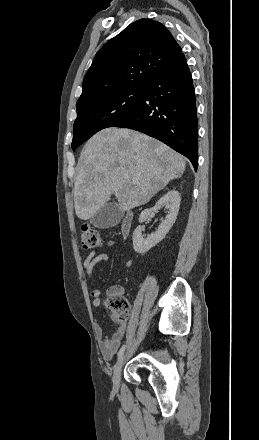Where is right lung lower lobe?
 <instances>
[{
	"label": "right lung lower lobe",
	"instance_id": "1",
	"mask_svg": "<svg viewBox=\"0 0 259 440\" xmlns=\"http://www.w3.org/2000/svg\"><path fill=\"white\" fill-rule=\"evenodd\" d=\"M114 127L154 137L198 165L195 91L184 55L148 86L139 105Z\"/></svg>",
	"mask_w": 259,
	"mask_h": 440
}]
</instances>
